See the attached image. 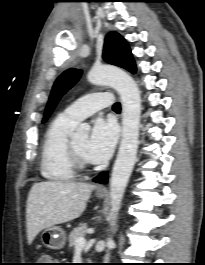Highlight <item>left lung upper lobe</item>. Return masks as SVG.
<instances>
[{"label":"left lung upper lobe","mask_w":205,"mask_h":265,"mask_svg":"<svg viewBox=\"0 0 205 265\" xmlns=\"http://www.w3.org/2000/svg\"><path fill=\"white\" fill-rule=\"evenodd\" d=\"M103 59L113 65L136 73V65L126 40L116 32L107 34L103 49ZM82 70L71 68L62 73L55 81L47 103L43 122L51 115L58 101L80 78Z\"/></svg>","instance_id":"obj_1"}]
</instances>
